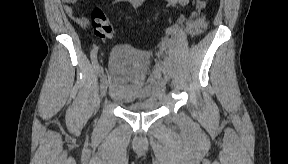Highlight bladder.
Returning a JSON list of instances; mask_svg holds the SVG:
<instances>
[{
  "label": "bladder",
  "instance_id": "obj_1",
  "mask_svg": "<svg viewBox=\"0 0 288 164\" xmlns=\"http://www.w3.org/2000/svg\"><path fill=\"white\" fill-rule=\"evenodd\" d=\"M149 62V54L135 48H119L110 55L109 96L126 111L153 112L159 107L145 83Z\"/></svg>",
  "mask_w": 288,
  "mask_h": 164
}]
</instances>
